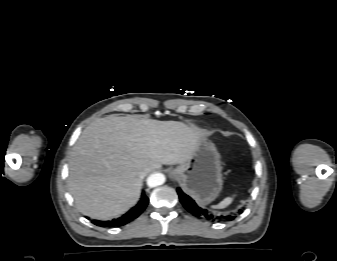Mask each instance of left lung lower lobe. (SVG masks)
<instances>
[{"instance_id":"0a47b994","label":"left lung lower lobe","mask_w":337,"mask_h":261,"mask_svg":"<svg viewBox=\"0 0 337 261\" xmlns=\"http://www.w3.org/2000/svg\"><path fill=\"white\" fill-rule=\"evenodd\" d=\"M177 192L179 195V199L183 204V206L185 207V209L189 211L193 216L199 219H203L206 221L220 222V221H231L235 218L234 215H218L210 213L208 210L202 209L199 206H197L194 200L185 193H183L180 188H177ZM242 212H243L242 210H239V213Z\"/></svg>"}]
</instances>
